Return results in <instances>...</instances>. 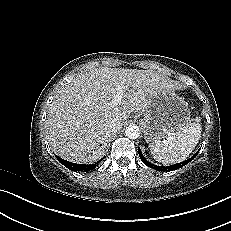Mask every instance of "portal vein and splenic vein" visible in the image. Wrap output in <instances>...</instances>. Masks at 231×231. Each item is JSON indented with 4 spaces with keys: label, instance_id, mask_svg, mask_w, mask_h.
<instances>
[{
    "label": "portal vein and splenic vein",
    "instance_id": "portal-vein-and-splenic-vein-1",
    "mask_svg": "<svg viewBox=\"0 0 231 231\" xmlns=\"http://www.w3.org/2000/svg\"><path fill=\"white\" fill-rule=\"evenodd\" d=\"M123 92L119 89L118 94L112 99L111 104L117 105L122 99Z\"/></svg>",
    "mask_w": 231,
    "mask_h": 231
}]
</instances>
